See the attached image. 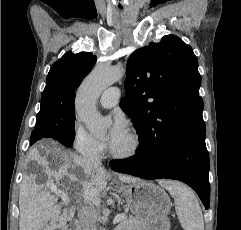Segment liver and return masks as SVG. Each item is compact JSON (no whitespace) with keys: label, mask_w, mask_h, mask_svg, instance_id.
Here are the masks:
<instances>
[{"label":"liver","mask_w":241,"mask_h":230,"mask_svg":"<svg viewBox=\"0 0 241 230\" xmlns=\"http://www.w3.org/2000/svg\"><path fill=\"white\" fill-rule=\"evenodd\" d=\"M41 150L33 148L28 154V159L36 163V171L25 176L20 186L19 230H40L49 221L52 228H62L65 224L59 215L55 195L44 184L36 182L39 176L49 180L53 178L57 184L63 177H67L74 188L63 187L65 196L90 204L99 203L100 193L107 186L108 176L102 167L94 168L90 175L85 174L83 177L77 171L78 167L83 168L82 158L78 155L55 145L41 147ZM119 179L124 183L139 181L125 175H119ZM75 189L76 195H72Z\"/></svg>","instance_id":"liver-1"}]
</instances>
